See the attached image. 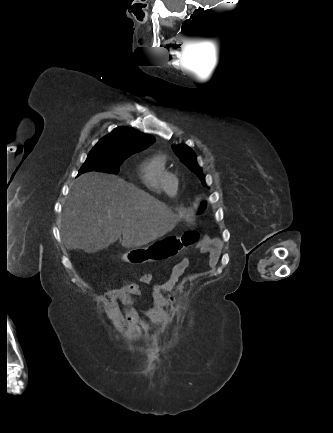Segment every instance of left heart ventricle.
Masks as SVG:
<instances>
[{"label":"left heart ventricle","instance_id":"obj_1","mask_svg":"<svg viewBox=\"0 0 333 433\" xmlns=\"http://www.w3.org/2000/svg\"><path fill=\"white\" fill-rule=\"evenodd\" d=\"M174 187H175L174 180H171V181H170V188H171L172 190H174Z\"/></svg>","mask_w":333,"mask_h":433}]
</instances>
